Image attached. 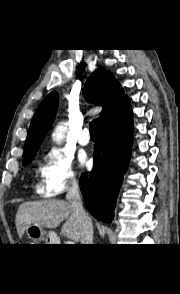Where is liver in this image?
Returning a JSON list of instances; mask_svg holds the SVG:
<instances>
[{
    "mask_svg": "<svg viewBox=\"0 0 180 294\" xmlns=\"http://www.w3.org/2000/svg\"><path fill=\"white\" fill-rule=\"evenodd\" d=\"M64 220L62 233L67 238L78 242L80 233L72 206L65 200H41L22 203L17 211L15 223L19 238H22L28 225L56 228Z\"/></svg>",
    "mask_w": 180,
    "mask_h": 294,
    "instance_id": "obj_1",
    "label": "liver"
}]
</instances>
